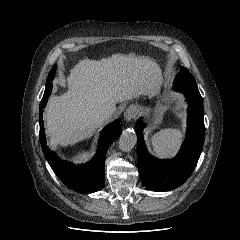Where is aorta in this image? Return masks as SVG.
<instances>
[{
    "label": "aorta",
    "mask_w": 240,
    "mask_h": 240,
    "mask_svg": "<svg viewBox=\"0 0 240 240\" xmlns=\"http://www.w3.org/2000/svg\"><path fill=\"white\" fill-rule=\"evenodd\" d=\"M137 140V136L133 130H125L120 136L119 139V148L124 152H128L132 150L135 146Z\"/></svg>",
    "instance_id": "obj_1"
}]
</instances>
